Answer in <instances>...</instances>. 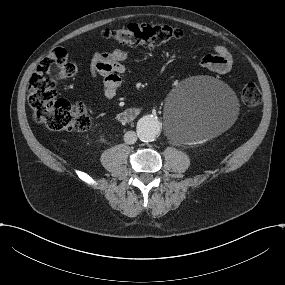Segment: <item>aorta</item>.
<instances>
[{"label":"aorta","instance_id":"762f6f07","mask_svg":"<svg viewBox=\"0 0 285 285\" xmlns=\"http://www.w3.org/2000/svg\"><path fill=\"white\" fill-rule=\"evenodd\" d=\"M161 124L156 117L144 116L137 123V135L143 142L154 141L160 133Z\"/></svg>","mask_w":285,"mask_h":285}]
</instances>
